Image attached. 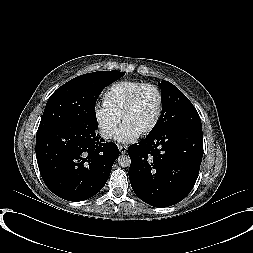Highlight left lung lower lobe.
Returning <instances> with one entry per match:
<instances>
[{
	"label": "left lung lower lobe",
	"mask_w": 253,
	"mask_h": 253,
	"mask_svg": "<svg viewBox=\"0 0 253 253\" xmlns=\"http://www.w3.org/2000/svg\"><path fill=\"white\" fill-rule=\"evenodd\" d=\"M129 179L135 194L154 207H168L192 190L203 157L202 128L180 127L130 145Z\"/></svg>",
	"instance_id": "1"
}]
</instances>
